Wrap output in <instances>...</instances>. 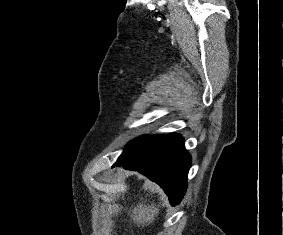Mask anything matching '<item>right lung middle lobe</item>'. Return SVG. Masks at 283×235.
Here are the masks:
<instances>
[{
  "label": "right lung middle lobe",
  "mask_w": 283,
  "mask_h": 235,
  "mask_svg": "<svg viewBox=\"0 0 283 235\" xmlns=\"http://www.w3.org/2000/svg\"><path fill=\"white\" fill-rule=\"evenodd\" d=\"M165 136L153 135L148 137H140L133 140L118 158L117 162L131 161L144 155L153 146L159 143Z\"/></svg>",
  "instance_id": "obj_1"
}]
</instances>
